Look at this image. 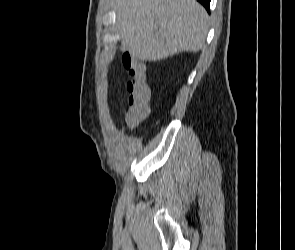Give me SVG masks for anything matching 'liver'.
<instances>
[{
    "mask_svg": "<svg viewBox=\"0 0 295 250\" xmlns=\"http://www.w3.org/2000/svg\"><path fill=\"white\" fill-rule=\"evenodd\" d=\"M121 49L158 61L203 48L208 14L196 0H115Z\"/></svg>",
    "mask_w": 295,
    "mask_h": 250,
    "instance_id": "obj_1",
    "label": "liver"
}]
</instances>
